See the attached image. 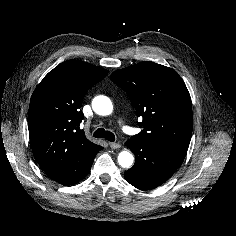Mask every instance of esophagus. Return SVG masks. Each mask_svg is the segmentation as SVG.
I'll return each instance as SVG.
<instances>
[{
	"label": "esophagus",
	"instance_id": "esophagus-1",
	"mask_svg": "<svg viewBox=\"0 0 236 236\" xmlns=\"http://www.w3.org/2000/svg\"><path fill=\"white\" fill-rule=\"evenodd\" d=\"M109 146L111 149H118L121 147V145L119 143H115V142H110Z\"/></svg>",
	"mask_w": 236,
	"mask_h": 236
}]
</instances>
